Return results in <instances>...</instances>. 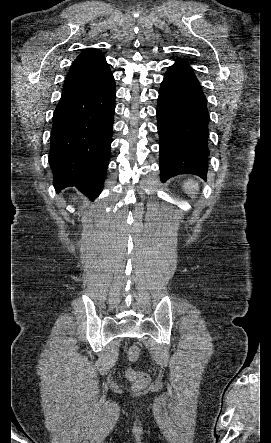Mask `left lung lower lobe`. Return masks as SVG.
<instances>
[{
    "instance_id": "1",
    "label": "left lung lower lobe",
    "mask_w": 271,
    "mask_h": 443,
    "mask_svg": "<svg viewBox=\"0 0 271 443\" xmlns=\"http://www.w3.org/2000/svg\"><path fill=\"white\" fill-rule=\"evenodd\" d=\"M207 100L183 59L165 73L157 105L161 180L184 173L206 179L208 169Z\"/></svg>"
}]
</instances>
